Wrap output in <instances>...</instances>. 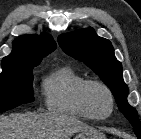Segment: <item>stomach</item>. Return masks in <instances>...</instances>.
<instances>
[{"mask_svg":"<svg viewBox=\"0 0 141 139\" xmlns=\"http://www.w3.org/2000/svg\"><path fill=\"white\" fill-rule=\"evenodd\" d=\"M74 139H106V137L95 129H88L78 132Z\"/></svg>","mask_w":141,"mask_h":139,"instance_id":"obj_1","label":"stomach"}]
</instances>
